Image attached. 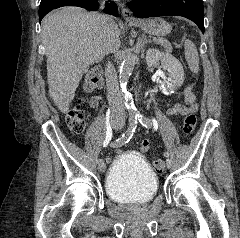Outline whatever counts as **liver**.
<instances>
[{
    "instance_id": "1",
    "label": "liver",
    "mask_w": 240,
    "mask_h": 238,
    "mask_svg": "<svg viewBox=\"0 0 240 238\" xmlns=\"http://www.w3.org/2000/svg\"><path fill=\"white\" fill-rule=\"evenodd\" d=\"M95 15L78 7H63L42 22L49 96L62 113L68 112L88 68L120 47L117 24L112 20L105 27Z\"/></svg>"
}]
</instances>
